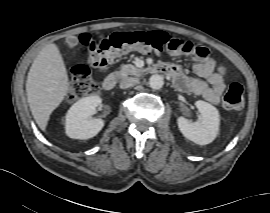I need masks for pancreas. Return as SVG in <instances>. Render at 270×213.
Masks as SVG:
<instances>
[{"instance_id":"obj_1","label":"pancreas","mask_w":270,"mask_h":213,"mask_svg":"<svg viewBox=\"0 0 270 213\" xmlns=\"http://www.w3.org/2000/svg\"><path fill=\"white\" fill-rule=\"evenodd\" d=\"M143 72V69H139L131 64L122 65L119 71L122 77H126L128 75L140 76Z\"/></svg>"}]
</instances>
